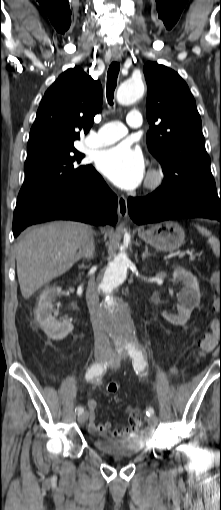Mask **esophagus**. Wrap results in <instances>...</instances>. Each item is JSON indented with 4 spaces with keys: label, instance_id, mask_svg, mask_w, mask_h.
<instances>
[{
    "label": "esophagus",
    "instance_id": "34e87169",
    "mask_svg": "<svg viewBox=\"0 0 221 510\" xmlns=\"http://www.w3.org/2000/svg\"><path fill=\"white\" fill-rule=\"evenodd\" d=\"M113 58L118 60L120 58V54L118 52L113 53ZM127 212V199L124 195H121L118 199V214L121 218H125L127 216Z\"/></svg>",
    "mask_w": 221,
    "mask_h": 510
}]
</instances>
